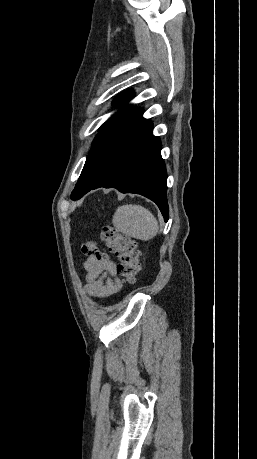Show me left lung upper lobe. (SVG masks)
Returning a JSON list of instances; mask_svg holds the SVG:
<instances>
[{
    "mask_svg": "<svg viewBox=\"0 0 257 459\" xmlns=\"http://www.w3.org/2000/svg\"><path fill=\"white\" fill-rule=\"evenodd\" d=\"M133 97V93L131 90L127 91L126 93L120 94L114 101V105L121 106L123 109L120 110L113 118L105 122L99 131V134L95 137L94 141L92 142V148L87 156L84 168L81 172L80 178L75 186L71 194L72 200H78L83 195L86 194L89 187L94 182L96 177V173L100 166V159H101V143L107 133V131L117 122L119 121L124 115L128 113L127 108H124L126 103Z\"/></svg>",
    "mask_w": 257,
    "mask_h": 459,
    "instance_id": "5c2ea615",
    "label": "left lung upper lobe"
}]
</instances>
